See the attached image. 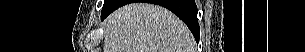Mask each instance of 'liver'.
<instances>
[{
  "instance_id": "6515ba94",
  "label": "liver",
  "mask_w": 305,
  "mask_h": 52,
  "mask_svg": "<svg viewBox=\"0 0 305 52\" xmlns=\"http://www.w3.org/2000/svg\"><path fill=\"white\" fill-rule=\"evenodd\" d=\"M104 52H194L186 25L164 7L132 3L105 21Z\"/></svg>"
}]
</instances>
